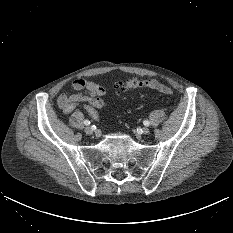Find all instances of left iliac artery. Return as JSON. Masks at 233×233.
<instances>
[{"instance_id":"1","label":"left iliac artery","mask_w":233,"mask_h":233,"mask_svg":"<svg viewBox=\"0 0 233 233\" xmlns=\"http://www.w3.org/2000/svg\"><path fill=\"white\" fill-rule=\"evenodd\" d=\"M143 124H144L145 126H149V125H150V122H149L148 120H145V121L143 122Z\"/></svg>"}]
</instances>
